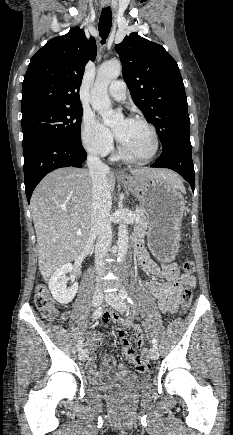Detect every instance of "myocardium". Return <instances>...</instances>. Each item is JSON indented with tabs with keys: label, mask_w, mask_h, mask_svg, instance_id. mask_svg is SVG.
I'll list each match as a JSON object with an SVG mask.
<instances>
[{
	"label": "myocardium",
	"mask_w": 233,
	"mask_h": 435,
	"mask_svg": "<svg viewBox=\"0 0 233 435\" xmlns=\"http://www.w3.org/2000/svg\"><path fill=\"white\" fill-rule=\"evenodd\" d=\"M128 120L142 123L143 125H145L149 129V131L152 135V139H153V148H152V151L150 152V154L147 155L146 157L135 158V157H132L129 154H127L125 152L124 148L122 147V145L120 144L119 140H117L118 154H119L120 158L126 162L133 163V164H139V165L148 164L152 160L155 159V157L159 151V136H158L157 130L147 119H145L141 116H137V115L131 116L128 118Z\"/></svg>",
	"instance_id": "1"
}]
</instances>
